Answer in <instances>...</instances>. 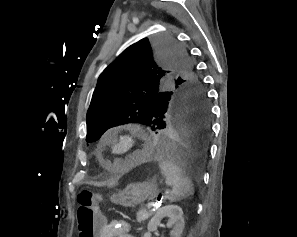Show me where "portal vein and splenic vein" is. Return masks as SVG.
I'll use <instances>...</instances> for the list:
<instances>
[{
	"label": "portal vein and splenic vein",
	"mask_w": 297,
	"mask_h": 237,
	"mask_svg": "<svg viewBox=\"0 0 297 237\" xmlns=\"http://www.w3.org/2000/svg\"><path fill=\"white\" fill-rule=\"evenodd\" d=\"M147 208L152 209L153 208V203H148Z\"/></svg>",
	"instance_id": "portal-vein-and-splenic-vein-1"
}]
</instances>
